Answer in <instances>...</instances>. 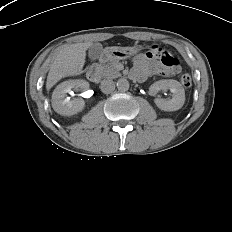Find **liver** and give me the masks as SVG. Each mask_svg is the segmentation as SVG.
I'll return each instance as SVG.
<instances>
[{
    "mask_svg": "<svg viewBox=\"0 0 232 232\" xmlns=\"http://www.w3.org/2000/svg\"><path fill=\"white\" fill-rule=\"evenodd\" d=\"M91 46L90 42H85L62 47L50 66L46 81L47 91L62 78L81 74L86 50Z\"/></svg>",
    "mask_w": 232,
    "mask_h": 232,
    "instance_id": "liver-1",
    "label": "liver"
}]
</instances>
